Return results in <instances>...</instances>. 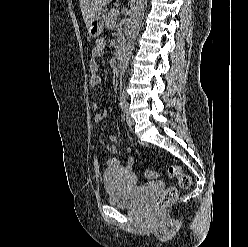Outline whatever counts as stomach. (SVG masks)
Instances as JSON below:
<instances>
[{
	"label": "stomach",
	"mask_w": 248,
	"mask_h": 247,
	"mask_svg": "<svg viewBox=\"0 0 248 247\" xmlns=\"http://www.w3.org/2000/svg\"><path fill=\"white\" fill-rule=\"evenodd\" d=\"M104 15H105L104 11H101L97 13L96 16L89 21L87 25V30H88V35L90 37L96 38L103 31Z\"/></svg>",
	"instance_id": "stomach-1"
}]
</instances>
